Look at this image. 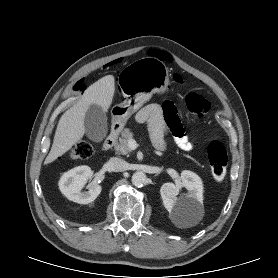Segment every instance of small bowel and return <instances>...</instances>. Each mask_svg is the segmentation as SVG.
Here are the masks:
<instances>
[{"label": "small bowel", "instance_id": "small-bowel-1", "mask_svg": "<svg viewBox=\"0 0 278 278\" xmlns=\"http://www.w3.org/2000/svg\"><path fill=\"white\" fill-rule=\"evenodd\" d=\"M136 120L139 123H148L152 142L157 149L164 148V135L168 129L172 131L181 149L189 151L193 148V143L185 135L176 109L170 101H165L163 107L158 104L145 106L136 114Z\"/></svg>", "mask_w": 278, "mask_h": 278}]
</instances>
